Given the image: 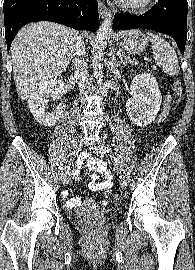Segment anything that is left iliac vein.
Segmentation results:
<instances>
[{
	"instance_id": "obj_1",
	"label": "left iliac vein",
	"mask_w": 195,
	"mask_h": 270,
	"mask_svg": "<svg viewBox=\"0 0 195 270\" xmlns=\"http://www.w3.org/2000/svg\"><path fill=\"white\" fill-rule=\"evenodd\" d=\"M90 150H92L94 153L100 154L101 156H104L107 152L105 151V145L102 141H99L96 144H92L90 146ZM119 183L120 187L122 189H126L127 187V181L124 175L120 174L119 176Z\"/></svg>"
}]
</instances>
